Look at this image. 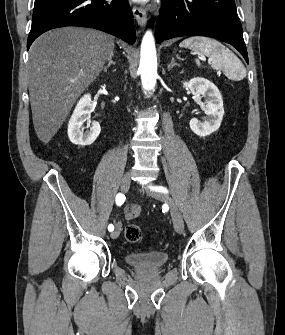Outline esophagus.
<instances>
[{
  "label": "esophagus",
  "instance_id": "obj_1",
  "mask_svg": "<svg viewBox=\"0 0 285 335\" xmlns=\"http://www.w3.org/2000/svg\"><path fill=\"white\" fill-rule=\"evenodd\" d=\"M135 19L137 20L138 25L145 26L147 23V15L143 8L133 7L132 8Z\"/></svg>",
  "mask_w": 285,
  "mask_h": 335
}]
</instances>
